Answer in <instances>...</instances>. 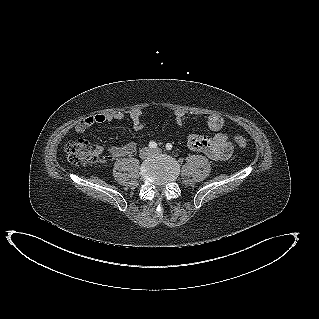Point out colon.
I'll use <instances>...</instances> for the list:
<instances>
[{"instance_id": "5ec220e1", "label": "colon", "mask_w": 319, "mask_h": 319, "mask_svg": "<svg viewBox=\"0 0 319 319\" xmlns=\"http://www.w3.org/2000/svg\"><path fill=\"white\" fill-rule=\"evenodd\" d=\"M234 140L238 147H248V141L244 136L236 134ZM64 152L67 159L76 165H88L97 160L90 143L84 139L68 140L64 145Z\"/></svg>"}]
</instances>
